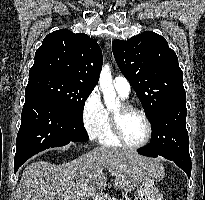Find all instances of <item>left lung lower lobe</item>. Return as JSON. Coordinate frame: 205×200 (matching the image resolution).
Instances as JSON below:
<instances>
[{
  "instance_id": "obj_1",
  "label": "left lung lower lobe",
  "mask_w": 205,
  "mask_h": 200,
  "mask_svg": "<svg viewBox=\"0 0 205 200\" xmlns=\"http://www.w3.org/2000/svg\"><path fill=\"white\" fill-rule=\"evenodd\" d=\"M186 100L168 104L152 123V139L138 153L149 157H162L175 162L191 176L189 137L186 129Z\"/></svg>"
}]
</instances>
